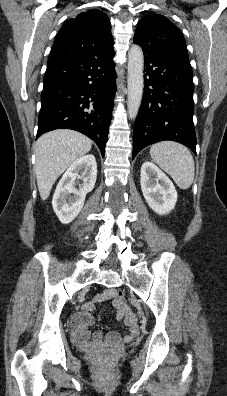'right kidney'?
Returning a JSON list of instances; mask_svg holds the SVG:
<instances>
[{
	"label": "right kidney",
	"mask_w": 227,
	"mask_h": 396,
	"mask_svg": "<svg viewBox=\"0 0 227 396\" xmlns=\"http://www.w3.org/2000/svg\"><path fill=\"white\" fill-rule=\"evenodd\" d=\"M96 178L97 163L92 154L80 157L64 173L52 199L54 212L63 224L70 223L80 213Z\"/></svg>",
	"instance_id": "obj_1"
}]
</instances>
